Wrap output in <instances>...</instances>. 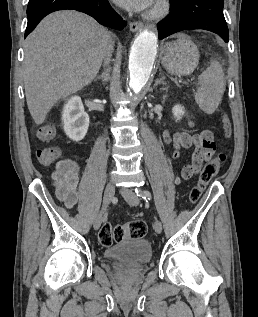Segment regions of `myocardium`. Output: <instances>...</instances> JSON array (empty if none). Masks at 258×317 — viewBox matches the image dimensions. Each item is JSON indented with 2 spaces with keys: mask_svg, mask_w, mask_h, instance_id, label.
<instances>
[{
  "mask_svg": "<svg viewBox=\"0 0 258 317\" xmlns=\"http://www.w3.org/2000/svg\"><path fill=\"white\" fill-rule=\"evenodd\" d=\"M169 11V6L165 3L155 5L149 12L148 16L153 19H158L166 15Z\"/></svg>",
  "mask_w": 258,
  "mask_h": 317,
  "instance_id": "1",
  "label": "myocardium"
}]
</instances>
